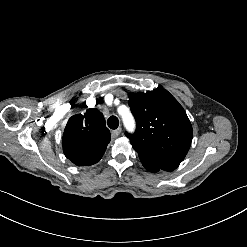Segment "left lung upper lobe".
Here are the masks:
<instances>
[{
	"mask_svg": "<svg viewBox=\"0 0 247 247\" xmlns=\"http://www.w3.org/2000/svg\"><path fill=\"white\" fill-rule=\"evenodd\" d=\"M128 104L137 129L126 136L147 170L173 171L186 156L192 141V126L185 110L165 89L129 96Z\"/></svg>",
	"mask_w": 247,
	"mask_h": 247,
	"instance_id": "5c2ea615",
	"label": "left lung upper lobe"
}]
</instances>
